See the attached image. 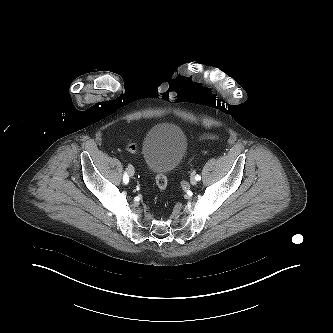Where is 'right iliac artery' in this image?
Listing matches in <instances>:
<instances>
[{
	"mask_svg": "<svg viewBox=\"0 0 333 333\" xmlns=\"http://www.w3.org/2000/svg\"><path fill=\"white\" fill-rule=\"evenodd\" d=\"M123 182H124V184H128V182H129V176H128L127 172H125L123 175Z\"/></svg>",
	"mask_w": 333,
	"mask_h": 333,
	"instance_id": "82829eb1",
	"label": "right iliac artery"
}]
</instances>
